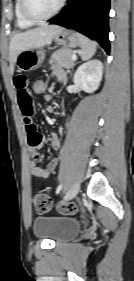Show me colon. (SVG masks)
Returning a JSON list of instances; mask_svg holds the SVG:
<instances>
[{
  "label": "colon",
  "mask_w": 134,
  "mask_h": 281,
  "mask_svg": "<svg viewBox=\"0 0 134 281\" xmlns=\"http://www.w3.org/2000/svg\"><path fill=\"white\" fill-rule=\"evenodd\" d=\"M32 92L36 95H44L46 91V82L41 78H36L32 82ZM33 204L39 213H46L52 208V200L46 194H36L33 198ZM61 211L65 214H75L78 212V207L75 205H67L61 207Z\"/></svg>",
  "instance_id": "5ec220e1"
}]
</instances>
